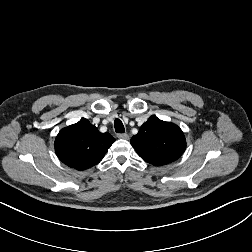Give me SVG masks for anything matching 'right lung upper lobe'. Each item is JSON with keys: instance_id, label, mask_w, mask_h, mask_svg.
I'll use <instances>...</instances> for the list:
<instances>
[{"instance_id": "cb5924a9", "label": "right lung upper lobe", "mask_w": 252, "mask_h": 252, "mask_svg": "<svg viewBox=\"0 0 252 252\" xmlns=\"http://www.w3.org/2000/svg\"><path fill=\"white\" fill-rule=\"evenodd\" d=\"M115 139L100 133L87 119L63 128L55 140L58 158L67 166L85 170L98 164Z\"/></svg>"}]
</instances>
